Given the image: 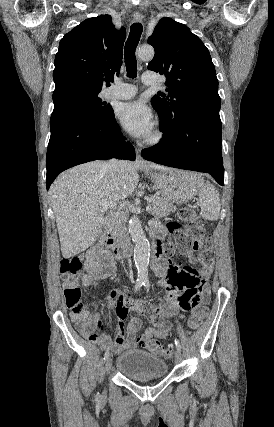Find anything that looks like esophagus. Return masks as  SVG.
Masks as SVG:
<instances>
[{"instance_id":"obj_1","label":"esophagus","mask_w":274,"mask_h":427,"mask_svg":"<svg viewBox=\"0 0 274 427\" xmlns=\"http://www.w3.org/2000/svg\"><path fill=\"white\" fill-rule=\"evenodd\" d=\"M142 19H143L142 15H139V14L133 15V20L135 22H142ZM136 165L144 168L148 167V162L146 160H143L139 151H137L136 153Z\"/></svg>"}]
</instances>
